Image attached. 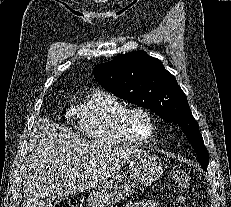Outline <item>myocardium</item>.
<instances>
[{
    "mask_svg": "<svg viewBox=\"0 0 231 207\" xmlns=\"http://www.w3.org/2000/svg\"><path fill=\"white\" fill-rule=\"evenodd\" d=\"M135 113L145 115L150 123V132L147 136H141L134 127L132 116ZM122 124L126 132L138 142H147L153 138L156 132V121L152 112L141 105H131L126 107L121 115Z\"/></svg>",
    "mask_w": 231,
    "mask_h": 207,
    "instance_id": "f54148a6",
    "label": "myocardium"
}]
</instances>
